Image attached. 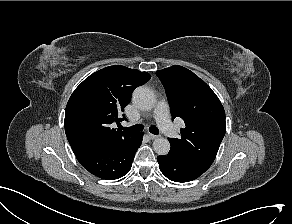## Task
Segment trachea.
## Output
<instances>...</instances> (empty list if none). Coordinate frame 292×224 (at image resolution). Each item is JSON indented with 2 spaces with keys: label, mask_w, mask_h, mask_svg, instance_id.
Wrapping results in <instances>:
<instances>
[{
  "label": "trachea",
  "mask_w": 292,
  "mask_h": 224,
  "mask_svg": "<svg viewBox=\"0 0 292 224\" xmlns=\"http://www.w3.org/2000/svg\"><path fill=\"white\" fill-rule=\"evenodd\" d=\"M123 129L124 130H127V131H131V132H140V131H142L144 129V127L142 125H134V126H131V127H124ZM149 131L152 134H155V135H158L159 134V130L155 126H151L149 128Z\"/></svg>",
  "instance_id": "obj_1"
}]
</instances>
